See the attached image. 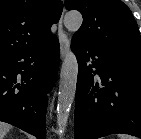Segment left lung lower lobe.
I'll return each mask as SVG.
<instances>
[{
  "label": "left lung lower lobe",
  "instance_id": "1",
  "mask_svg": "<svg viewBox=\"0 0 141 139\" xmlns=\"http://www.w3.org/2000/svg\"><path fill=\"white\" fill-rule=\"evenodd\" d=\"M72 50L79 64L74 138L113 133L141 138V58L105 50L76 36Z\"/></svg>",
  "mask_w": 141,
  "mask_h": 139
}]
</instances>
